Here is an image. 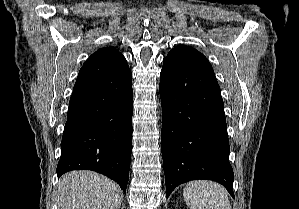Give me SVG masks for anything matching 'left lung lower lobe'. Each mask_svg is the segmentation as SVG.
<instances>
[{
  "mask_svg": "<svg viewBox=\"0 0 299 209\" xmlns=\"http://www.w3.org/2000/svg\"><path fill=\"white\" fill-rule=\"evenodd\" d=\"M159 91L167 197L182 183L208 179L234 198L224 103L212 67L164 59Z\"/></svg>",
  "mask_w": 299,
  "mask_h": 209,
  "instance_id": "left-lung-lower-lobe-1",
  "label": "left lung lower lobe"
}]
</instances>
